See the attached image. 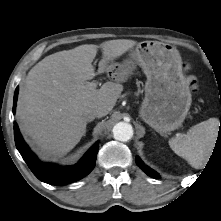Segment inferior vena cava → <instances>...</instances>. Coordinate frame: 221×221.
I'll return each mask as SVG.
<instances>
[{
    "instance_id": "inferior-vena-cava-1",
    "label": "inferior vena cava",
    "mask_w": 221,
    "mask_h": 221,
    "mask_svg": "<svg viewBox=\"0 0 221 221\" xmlns=\"http://www.w3.org/2000/svg\"><path fill=\"white\" fill-rule=\"evenodd\" d=\"M98 115H99L98 108H87L83 113L84 118L88 122L94 120L96 117H98Z\"/></svg>"
}]
</instances>
